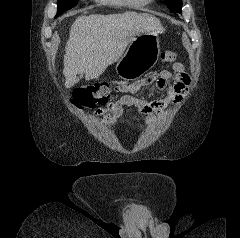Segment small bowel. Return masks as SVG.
Returning a JSON list of instances; mask_svg holds the SVG:
<instances>
[{"label":"small bowel","instance_id":"1","mask_svg":"<svg viewBox=\"0 0 240 238\" xmlns=\"http://www.w3.org/2000/svg\"><path fill=\"white\" fill-rule=\"evenodd\" d=\"M155 82L157 88L165 89L166 93L160 100L147 102L136 97V93L144 86ZM190 78L182 63L176 62L172 65L171 71L164 70L158 75L140 79L134 83L118 85L116 90L124 95L116 100L109 102L106 107L97 109L95 114L102 116L106 122L112 126L123 114L126 107H133L138 112L145 114L144 124L139 127L153 126L157 117L171 104L179 103L188 90Z\"/></svg>","mask_w":240,"mask_h":238}]
</instances>
